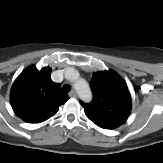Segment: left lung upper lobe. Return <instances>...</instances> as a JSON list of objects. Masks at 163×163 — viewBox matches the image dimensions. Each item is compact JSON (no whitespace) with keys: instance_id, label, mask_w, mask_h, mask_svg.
I'll return each mask as SVG.
<instances>
[{"instance_id":"1","label":"left lung upper lobe","mask_w":163,"mask_h":163,"mask_svg":"<svg viewBox=\"0 0 163 163\" xmlns=\"http://www.w3.org/2000/svg\"><path fill=\"white\" fill-rule=\"evenodd\" d=\"M93 101L81 102L86 116L98 126L118 127L131 112V96L126 82L114 71H98L90 83Z\"/></svg>"}]
</instances>
